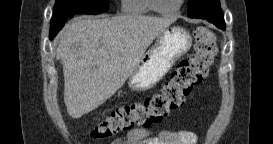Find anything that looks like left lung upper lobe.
Wrapping results in <instances>:
<instances>
[{
    "label": "left lung upper lobe",
    "instance_id": "1",
    "mask_svg": "<svg viewBox=\"0 0 273 144\" xmlns=\"http://www.w3.org/2000/svg\"><path fill=\"white\" fill-rule=\"evenodd\" d=\"M212 3H207L205 0H189L188 16L195 18L198 14L211 9V7L221 8L219 0H212Z\"/></svg>",
    "mask_w": 273,
    "mask_h": 144
}]
</instances>
